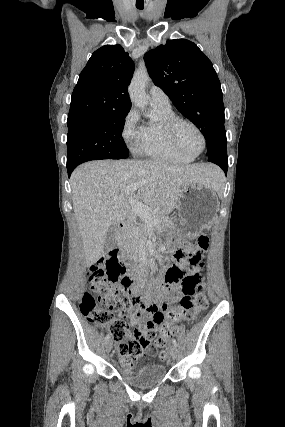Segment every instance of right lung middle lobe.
<instances>
[{
	"label": "right lung middle lobe",
	"mask_w": 285,
	"mask_h": 427,
	"mask_svg": "<svg viewBox=\"0 0 285 427\" xmlns=\"http://www.w3.org/2000/svg\"><path fill=\"white\" fill-rule=\"evenodd\" d=\"M126 115L113 112L67 121V168L90 160L127 158L121 134Z\"/></svg>",
	"instance_id": "obj_1"
}]
</instances>
